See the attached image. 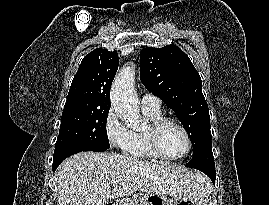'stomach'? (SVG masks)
Returning <instances> with one entry per match:
<instances>
[{"mask_svg": "<svg viewBox=\"0 0 269 205\" xmlns=\"http://www.w3.org/2000/svg\"><path fill=\"white\" fill-rule=\"evenodd\" d=\"M208 198L205 191L181 193L167 200L166 197L157 194L144 195L137 205H208ZM123 202L121 205H126Z\"/></svg>", "mask_w": 269, "mask_h": 205, "instance_id": "1", "label": "stomach"}]
</instances>
